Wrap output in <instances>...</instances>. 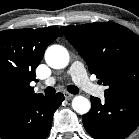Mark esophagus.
<instances>
[{
	"instance_id": "1",
	"label": "esophagus",
	"mask_w": 139,
	"mask_h": 139,
	"mask_svg": "<svg viewBox=\"0 0 139 139\" xmlns=\"http://www.w3.org/2000/svg\"><path fill=\"white\" fill-rule=\"evenodd\" d=\"M64 96H65V98H66L67 100H70V99H72V98L74 97L73 94L68 93V92H65V93H64Z\"/></svg>"
}]
</instances>
